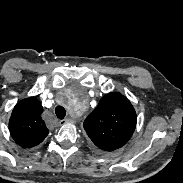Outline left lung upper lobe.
Wrapping results in <instances>:
<instances>
[{
    "instance_id": "1",
    "label": "left lung upper lobe",
    "mask_w": 183,
    "mask_h": 183,
    "mask_svg": "<svg viewBox=\"0 0 183 183\" xmlns=\"http://www.w3.org/2000/svg\"><path fill=\"white\" fill-rule=\"evenodd\" d=\"M136 121V112L131 102L120 93H108L85 119L83 126L98 148L113 151L128 142Z\"/></svg>"
}]
</instances>
